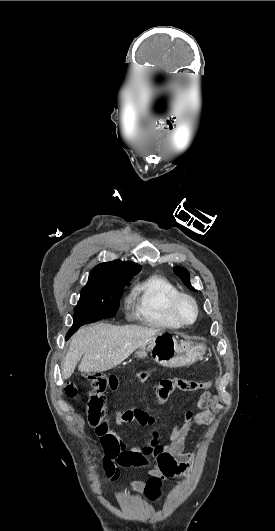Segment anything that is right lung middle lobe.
<instances>
[{"label": "right lung middle lobe", "instance_id": "1", "mask_svg": "<svg viewBox=\"0 0 275 531\" xmlns=\"http://www.w3.org/2000/svg\"><path fill=\"white\" fill-rule=\"evenodd\" d=\"M129 281L87 283L74 312V322L66 339L82 325L112 317L119 307L123 287Z\"/></svg>", "mask_w": 275, "mask_h": 531}]
</instances>
